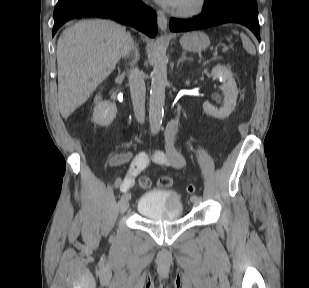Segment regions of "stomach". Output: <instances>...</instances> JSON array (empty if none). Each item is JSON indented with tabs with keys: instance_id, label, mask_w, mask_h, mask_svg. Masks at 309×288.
<instances>
[{
	"instance_id": "stomach-1",
	"label": "stomach",
	"mask_w": 309,
	"mask_h": 288,
	"mask_svg": "<svg viewBox=\"0 0 309 288\" xmlns=\"http://www.w3.org/2000/svg\"><path fill=\"white\" fill-rule=\"evenodd\" d=\"M180 44L187 51H202L209 46L210 40L205 33L193 31L185 33L180 39Z\"/></svg>"
}]
</instances>
